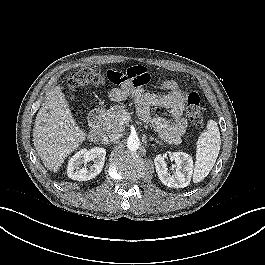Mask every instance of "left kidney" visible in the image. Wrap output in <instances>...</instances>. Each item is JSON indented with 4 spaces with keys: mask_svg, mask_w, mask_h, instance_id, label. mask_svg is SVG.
Returning <instances> with one entry per match:
<instances>
[{
    "mask_svg": "<svg viewBox=\"0 0 265 265\" xmlns=\"http://www.w3.org/2000/svg\"><path fill=\"white\" fill-rule=\"evenodd\" d=\"M172 160L176 164L174 176H170L164 156L159 154L155 157L154 163L160 181L168 187H187L190 184L193 173L192 157L184 152H174L172 154Z\"/></svg>",
    "mask_w": 265,
    "mask_h": 265,
    "instance_id": "5707ae66",
    "label": "left kidney"
}]
</instances>
